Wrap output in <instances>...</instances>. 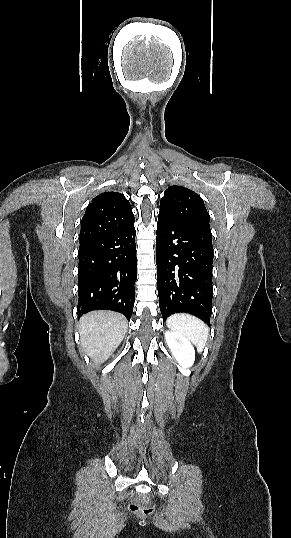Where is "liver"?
Instances as JSON below:
<instances>
[{"label":"liver","mask_w":291,"mask_h":538,"mask_svg":"<svg viewBox=\"0 0 291 538\" xmlns=\"http://www.w3.org/2000/svg\"><path fill=\"white\" fill-rule=\"evenodd\" d=\"M128 321L119 313L93 311L81 317L80 343L96 364L105 361L124 339Z\"/></svg>","instance_id":"6515ba94"}]
</instances>
